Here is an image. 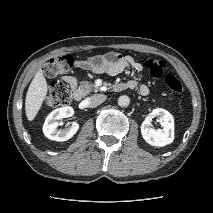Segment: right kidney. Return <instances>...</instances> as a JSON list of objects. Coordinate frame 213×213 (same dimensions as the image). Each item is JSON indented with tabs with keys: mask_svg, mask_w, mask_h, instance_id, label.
Instances as JSON below:
<instances>
[{
	"mask_svg": "<svg viewBox=\"0 0 213 213\" xmlns=\"http://www.w3.org/2000/svg\"><path fill=\"white\" fill-rule=\"evenodd\" d=\"M74 114V110L70 106L61 107L53 110L46 118L43 125L44 135L51 140L66 141L69 140L78 131L79 124L72 122L71 125L64 129H58L57 120L66 117H71Z\"/></svg>",
	"mask_w": 213,
	"mask_h": 213,
	"instance_id": "right-kidney-1",
	"label": "right kidney"
}]
</instances>
